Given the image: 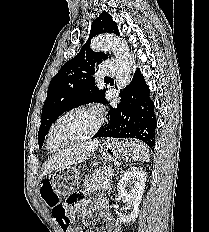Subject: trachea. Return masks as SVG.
Here are the masks:
<instances>
[{
	"label": "trachea",
	"mask_w": 209,
	"mask_h": 232,
	"mask_svg": "<svg viewBox=\"0 0 209 232\" xmlns=\"http://www.w3.org/2000/svg\"><path fill=\"white\" fill-rule=\"evenodd\" d=\"M105 79L107 80V79H110L109 77H105Z\"/></svg>",
	"instance_id": "3493384b"
}]
</instances>
